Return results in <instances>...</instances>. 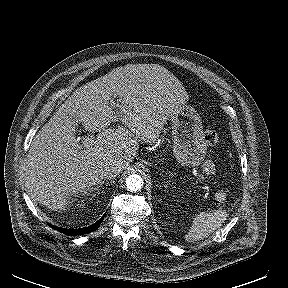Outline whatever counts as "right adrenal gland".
Segmentation results:
<instances>
[{
	"mask_svg": "<svg viewBox=\"0 0 288 288\" xmlns=\"http://www.w3.org/2000/svg\"><path fill=\"white\" fill-rule=\"evenodd\" d=\"M103 184H104V181L101 182L97 187L94 188V190L96 191L97 194L99 193V190L103 187ZM93 196H95V195H93Z\"/></svg>",
	"mask_w": 288,
	"mask_h": 288,
	"instance_id": "1",
	"label": "right adrenal gland"
}]
</instances>
